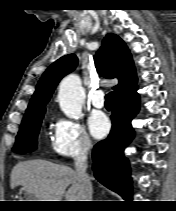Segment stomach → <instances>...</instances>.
<instances>
[{"instance_id": "obj_1", "label": "stomach", "mask_w": 176, "mask_h": 211, "mask_svg": "<svg viewBox=\"0 0 176 211\" xmlns=\"http://www.w3.org/2000/svg\"><path fill=\"white\" fill-rule=\"evenodd\" d=\"M19 197H20V201H40L35 194H33L32 192H30L28 189L22 187L19 189Z\"/></svg>"}]
</instances>
